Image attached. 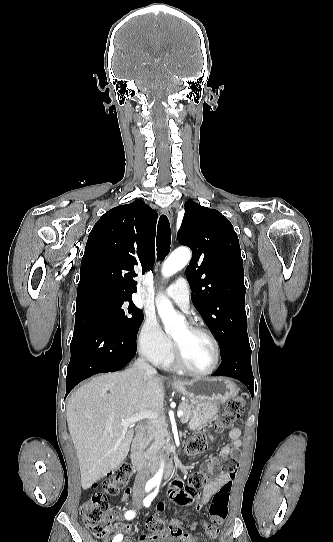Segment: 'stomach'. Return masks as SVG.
<instances>
[{"label": "stomach", "instance_id": "1", "mask_svg": "<svg viewBox=\"0 0 333 542\" xmlns=\"http://www.w3.org/2000/svg\"><path fill=\"white\" fill-rule=\"evenodd\" d=\"M171 386L194 404L189 424L191 430L204 428L216 420L221 404L237 394V386L229 378H194L188 382L175 380Z\"/></svg>", "mask_w": 333, "mask_h": 542}]
</instances>
